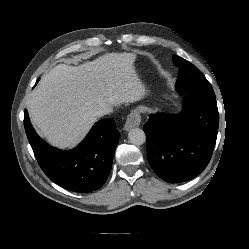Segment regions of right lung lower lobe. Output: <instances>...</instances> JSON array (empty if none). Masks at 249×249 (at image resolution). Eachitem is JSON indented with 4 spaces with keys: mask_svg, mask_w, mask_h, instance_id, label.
Here are the masks:
<instances>
[{
    "mask_svg": "<svg viewBox=\"0 0 249 249\" xmlns=\"http://www.w3.org/2000/svg\"><path fill=\"white\" fill-rule=\"evenodd\" d=\"M24 127L41 169L59 186L75 192H91L107 180L119 140L113 119L95 123L85 139L69 151L45 143L32 127L27 110Z\"/></svg>",
    "mask_w": 249,
    "mask_h": 249,
    "instance_id": "1",
    "label": "right lung lower lobe"
}]
</instances>
